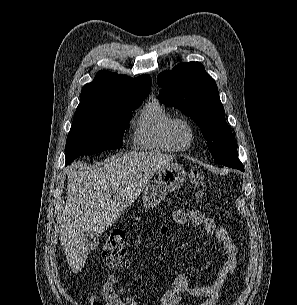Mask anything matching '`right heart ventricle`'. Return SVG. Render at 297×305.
Listing matches in <instances>:
<instances>
[{"instance_id": "obj_1", "label": "right heart ventricle", "mask_w": 297, "mask_h": 305, "mask_svg": "<svg viewBox=\"0 0 297 305\" xmlns=\"http://www.w3.org/2000/svg\"><path fill=\"white\" fill-rule=\"evenodd\" d=\"M174 118L173 113L157 100L147 102L134 124V147L148 151H178L168 132L169 124Z\"/></svg>"}]
</instances>
